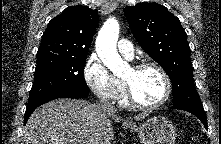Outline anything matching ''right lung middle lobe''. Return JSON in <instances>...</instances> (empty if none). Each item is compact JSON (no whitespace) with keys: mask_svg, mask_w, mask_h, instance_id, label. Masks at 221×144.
I'll return each mask as SVG.
<instances>
[{"mask_svg":"<svg viewBox=\"0 0 221 144\" xmlns=\"http://www.w3.org/2000/svg\"><path fill=\"white\" fill-rule=\"evenodd\" d=\"M85 63L86 56H37L34 83L27 106L59 90L74 89L89 92L83 72Z\"/></svg>","mask_w":221,"mask_h":144,"instance_id":"right-lung-middle-lobe-1","label":"right lung middle lobe"}]
</instances>
